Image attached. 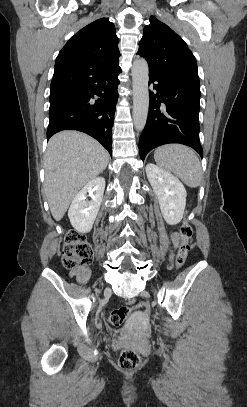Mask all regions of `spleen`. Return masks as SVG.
Wrapping results in <instances>:
<instances>
[{
  "label": "spleen",
  "mask_w": 247,
  "mask_h": 407,
  "mask_svg": "<svg viewBox=\"0 0 247 407\" xmlns=\"http://www.w3.org/2000/svg\"><path fill=\"white\" fill-rule=\"evenodd\" d=\"M154 158L159 167L174 173L185 185L197 188L201 184V163L189 147L181 144L164 145L155 150Z\"/></svg>",
  "instance_id": "3e777b00"
}]
</instances>
